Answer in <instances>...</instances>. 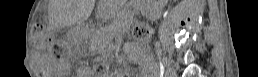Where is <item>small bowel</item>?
<instances>
[{
	"label": "small bowel",
	"instance_id": "c3829d8e",
	"mask_svg": "<svg viewBox=\"0 0 258 77\" xmlns=\"http://www.w3.org/2000/svg\"><path fill=\"white\" fill-rule=\"evenodd\" d=\"M135 50L137 51L136 55L140 56V49L136 48ZM142 68H143L144 72H148L151 69V65L149 64V62H145V63H143Z\"/></svg>",
	"mask_w": 258,
	"mask_h": 77
}]
</instances>
